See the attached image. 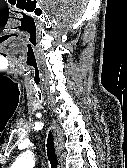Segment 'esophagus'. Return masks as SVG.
Instances as JSON below:
<instances>
[{"mask_svg":"<svg viewBox=\"0 0 127 168\" xmlns=\"http://www.w3.org/2000/svg\"><path fill=\"white\" fill-rule=\"evenodd\" d=\"M53 135L56 152L58 155H60L62 149V133L55 121H53Z\"/></svg>","mask_w":127,"mask_h":168,"instance_id":"34e87169","label":"esophagus"}]
</instances>
